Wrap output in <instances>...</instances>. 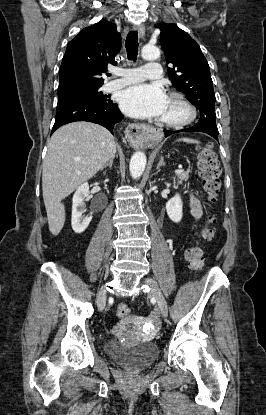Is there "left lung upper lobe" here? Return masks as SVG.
<instances>
[{"label":"left lung upper lobe","instance_id":"5c2ea615","mask_svg":"<svg viewBox=\"0 0 266 415\" xmlns=\"http://www.w3.org/2000/svg\"><path fill=\"white\" fill-rule=\"evenodd\" d=\"M161 30L160 43L164 50L168 76L173 86L188 96V100L200 111V119L191 127L196 132L218 136L215 114V94L210 68L199 45L188 33L175 24L155 25Z\"/></svg>","mask_w":266,"mask_h":415}]
</instances>
